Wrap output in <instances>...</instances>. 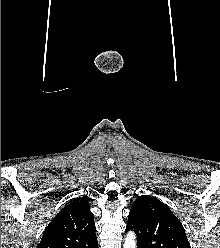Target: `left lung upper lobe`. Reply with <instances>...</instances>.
<instances>
[{
    "label": "left lung upper lobe",
    "instance_id": "obj_1",
    "mask_svg": "<svg viewBox=\"0 0 220 248\" xmlns=\"http://www.w3.org/2000/svg\"><path fill=\"white\" fill-rule=\"evenodd\" d=\"M134 230L140 248H191L183 225L162 201L138 196L131 206L126 231Z\"/></svg>",
    "mask_w": 220,
    "mask_h": 248
}]
</instances>
